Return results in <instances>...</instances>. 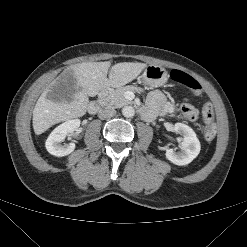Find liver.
Listing matches in <instances>:
<instances>
[{
	"label": "liver",
	"instance_id": "6515ba94",
	"mask_svg": "<svg viewBox=\"0 0 247 247\" xmlns=\"http://www.w3.org/2000/svg\"><path fill=\"white\" fill-rule=\"evenodd\" d=\"M110 66L109 61L83 62L64 71L37 100L32 119L35 134L44 133L54 124L82 117L87 110L88 96H95L109 87L119 88L126 85L133 81L147 64L122 62L111 68ZM59 81L65 82L67 88H54Z\"/></svg>",
	"mask_w": 247,
	"mask_h": 247
}]
</instances>
